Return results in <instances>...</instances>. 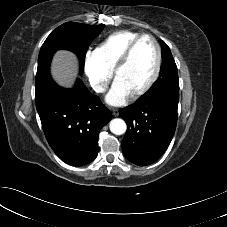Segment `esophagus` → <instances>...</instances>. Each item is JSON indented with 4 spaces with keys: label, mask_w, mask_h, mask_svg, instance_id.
<instances>
[{
    "label": "esophagus",
    "mask_w": 227,
    "mask_h": 227,
    "mask_svg": "<svg viewBox=\"0 0 227 227\" xmlns=\"http://www.w3.org/2000/svg\"><path fill=\"white\" fill-rule=\"evenodd\" d=\"M112 114H113L114 116H118V115H119V111H118L117 109H113V110H112Z\"/></svg>",
    "instance_id": "1"
}]
</instances>
